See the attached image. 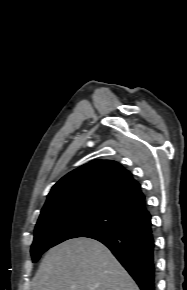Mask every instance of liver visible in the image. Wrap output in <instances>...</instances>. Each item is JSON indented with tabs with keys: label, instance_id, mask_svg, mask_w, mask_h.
<instances>
[{
	"label": "liver",
	"instance_id": "obj_1",
	"mask_svg": "<svg viewBox=\"0 0 187 290\" xmlns=\"http://www.w3.org/2000/svg\"><path fill=\"white\" fill-rule=\"evenodd\" d=\"M32 286L33 290H139L110 250L86 237L50 249Z\"/></svg>",
	"mask_w": 187,
	"mask_h": 290
}]
</instances>
